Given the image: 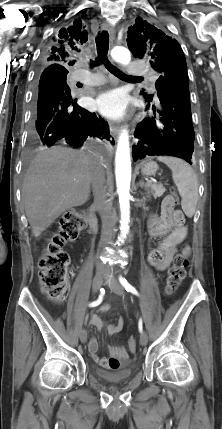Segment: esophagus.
<instances>
[{
	"label": "esophagus",
	"instance_id": "obj_1",
	"mask_svg": "<svg viewBox=\"0 0 222 429\" xmlns=\"http://www.w3.org/2000/svg\"><path fill=\"white\" fill-rule=\"evenodd\" d=\"M101 29L108 31L110 33L111 38L114 39L115 30L110 24H108L107 22H103L101 25ZM109 126H110V131L112 132L113 136L117 137V135L119 133V125L117 123L110 122Z\"/></svg>",
	"mask_w": 222,
	"mask_h": 429
}]
</instances>
